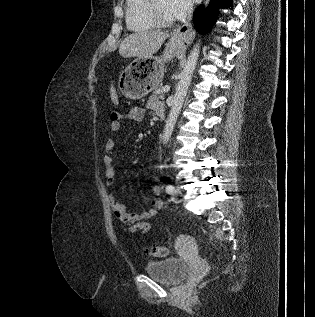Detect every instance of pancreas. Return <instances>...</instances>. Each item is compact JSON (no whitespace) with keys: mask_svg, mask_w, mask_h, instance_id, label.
Masks as SVG:
<instances>
[{"mask_svg":"<svg viewBox=\"0 0 315 317\" xmlns=\"http://www.w3.org/2000/svg\"><path fill=\"white\" fill-rule=\"evenodd\" d=\"M150 99L156 100V99H164V92L162 91V87L158 86L155 88V91L151 95Z\"/></svg>","mask_w":315,"mask_h":317,"instance_id":"1","label":"pancreas"}]
</instances>
